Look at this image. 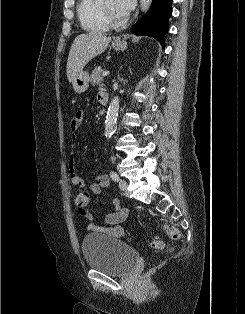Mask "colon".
Listing matches in <instances>:
<instances>
[{
	"mask_svg": "<svg viewBox=\"0 0 245 314\" xmlns=\"http://www.w3.org/2000/svg\"><path fill=\"white\" fill-rule=\"evenodd\" d=\"M74 203L78 208L79 212H84L89 203V193L87 191H81L76 194ZM163 229L173 240H179L181 237L180 231L172 224H163ZM151 246L154 250L160 251L164 248V242L159 238L155 237L151 241Z\"/></svg>",
	"mask_w": 245,
	"mask_h": 314,
	"instance_id": "5ec220e1",
	"label": "colon"
}]
</instances>
